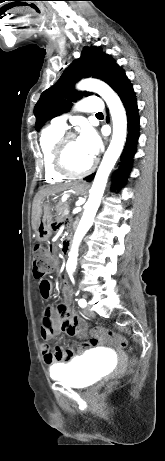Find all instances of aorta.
<instances>
[{
    "label": "aorta",
    "instance_id": "1",
    "mask_svg": "<svg viewBox=\"0 0 165 461\" xmlns=\"http://www.w3.org/2000/svg\"><path fill=\"white\" fill-rule=\"evenodd\" d=\"M77 89L95 92L104 99L112 117L113 135L95 175L89 192V199L84 206L82 218L74 235L66 265L69 274H72L76 269L80 242L93 224L109 174L123 150L127 132V117L123 104L118 95L106 83L97 79H84L77 84Z\"/></svg>",
    "mask_w": 165,
    "mask_h": 461
}]
</instances>
